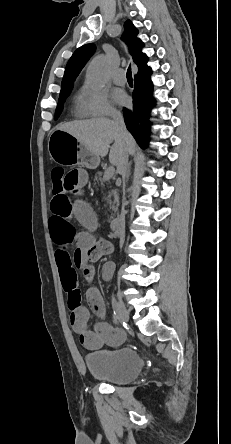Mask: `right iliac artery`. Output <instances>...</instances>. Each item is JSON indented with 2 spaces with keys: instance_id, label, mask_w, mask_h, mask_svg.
I'll list each match as a JSON object with an SVG mask.
<instances>
[{
  "instance_id": "82829eb1",
  "label": "right iliac artery",
  "mask_w": 231,
  "mask_h": 444,
  "mask_svg": "<svg viewBox=\"0 0 231 444\" xmlns=\"http://www.w3.org/2000/svg\"><path fill=\"white\" fill-rule=\"evenodd\" d=\"M112 305L114 307V316H113L114 323H117V320L119 319V313H118V310H117V301H116V299L114 297H112Z\"/></svg>"
}]
</instances>
